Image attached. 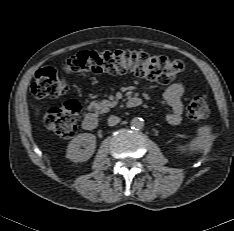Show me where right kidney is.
<instances>
[{"mask_svg": "<svg viewBox=\"0 0 234 231\" xmlns=\"http://www.w3.org/2000/svg\"><path fill=\"white\" fill-rule=\"evenodd\" d=\"M95 148L96 136L91 133H82L70 141L66 157L73 162H85L93 155Z\"/></svg>", "mask_w": 234, "mask_h": 231, "instance_id": "1", "label": "right kidney"}]
</instances>
